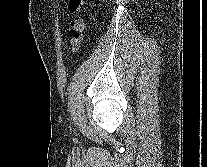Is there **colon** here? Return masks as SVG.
Here are the masks:
<instances>
[{"mask_svg": "<svg viewBox=\"0 0 207 167\" xmlns=\"http://www.w3.org/2000/svg\"><path fill=\"white\" fill-rule=\"evenodd\" d=\"M83 5L84 0H69V11L75 14V18L71 21L67 30L73 53H78L81 46L84 30V22L81 17V10Z\"/></svg>", "mask_w": 207, "mask_h": 167, "instance_id": "1", "label": "colon"}]
</instances>
